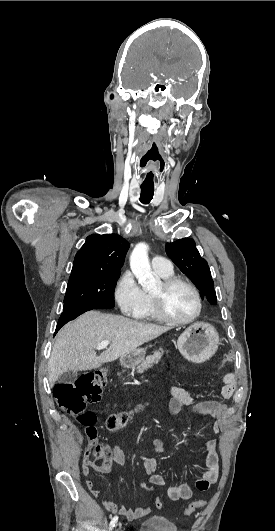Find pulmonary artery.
<instances>
[{
	"mask_svg": "<svg viewBox=\"0 0 275 531\" xmlns=\"http://www.w3.org/2000/svg\"><path fill=\"white\" fill-rule=\"evenodd\" d=\"M152 269L154 272H158V273H171L172 272L170 261H163V257L161 255H156L154 257Z\"/></svg>",
	"mask_w": 275,
	"mask_h": 531,
	"instance_id": "e3ab8cb5",
	"label": "pulmonary artery"
}]
</instances>
